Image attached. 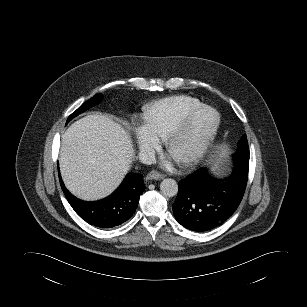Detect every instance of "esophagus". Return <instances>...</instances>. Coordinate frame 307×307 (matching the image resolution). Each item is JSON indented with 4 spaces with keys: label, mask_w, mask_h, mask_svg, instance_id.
I'll list each match as a JSON object with an SVG mask.
<instances>
[{
    "label": "esophagus",
    "mask_w": 307,
    "mask_h": 307,
    "mask_svg": "<svg viewBox=\"0 0 307 307\" xmlns=\"http://www.w3.org/2000/svg\"><path fill=\"white\" fill-rule=\"evenodd\" d=\"M164 178V175L157 172V171H151L147 174L146 179L147 180H161Z\"/></svg>",
    "instance_id": "obj_1"
}]
</instances>
